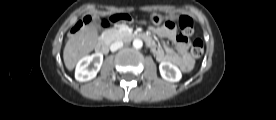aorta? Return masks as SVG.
Segmentation results:
<instances>
[{"instance_id":"aorta-1","label":"aorta","mask_w":276,"mask_h":120,"mask_svg":"<svg viewBox=\"0 0 276 120\" xmlns=\"http://www.w3.org/2000/svg\"><path fill=\"white\" fill-rule=\"evenodd\" d=\"M142 46H143V42H142L141 39H134V41H133V47L135 49H140V48H142Z\"/></svg>"}]
</instances>
